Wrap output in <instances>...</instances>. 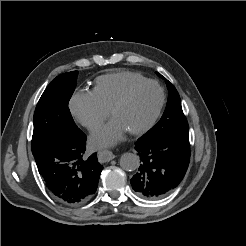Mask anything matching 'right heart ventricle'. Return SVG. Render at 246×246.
I'll return each mask as SVG.
<instances>
[{
  "label": "right heart ventricle",
  "instance_id": "e07e8e85",
  "mask_svg": "<svg viewBox=\"0 0 246 246\" xmlns=\"http://www.w3.org/2000/svg\"><path fill=\"white\" fill-rule=\"evenodd\" d=\"M145 79L143 75L136 72H112L97 77L91 92L97 102L109 111L112 105L131 85Z\"/></svg>",
  "mask_w": 246,
  "mask_h": 246
}]
</instances>
